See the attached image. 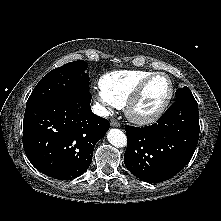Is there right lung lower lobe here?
I'll use <instances>...</instances> for the list:
<instances>
[{"label":"right lung lower lobe","mask_w":221,"mask_h":221,"mask_svg":"<svg viewBox=\"0 0 221 221\" xmlns=\"http://www.w3.org/2000/svg\"><path fill=\"white\" fill-rule=\"evenodd\" d=\"M91 95L73 102L50 101L26 107L23 147L41 172L60 180L81 175L92 161L95 144L109 129L92 113Z\"/></svg>","instance_id":"obj_1"}]
</instances>
